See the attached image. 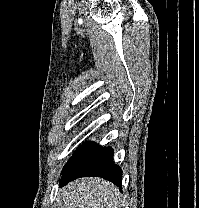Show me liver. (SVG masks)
Segmentation results:
<instances>
[{"mask_svg": "<svg viewBox=\"0 0 199 208\" xmlns=\"http://www.w3.org/2000/svg\"><path fill=\"white\" fill-rule=\"evenodd\" d=\"M64 208H120V194L101 178L77 179L61 189Z\"/></svg>", "mask_w": 199, "mask_h": 208, "instance_id": "6515ba94", "label": "liver"}]
</instances>
